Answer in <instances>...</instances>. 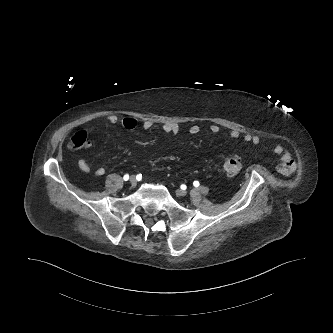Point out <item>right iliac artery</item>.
I'll use <instances>...</instances> for the list:
<instances>
[{
    "instance_id": "82829eb1",
    "label": "right iliac artery",
    "mask_w": 333,
    "mask_h": 333,
    "mask_svg": "<svg viewBox=\"0 0 333 333\" xmlns=\"http://www.w3.org/2000/svg\"><path fill=\"white\" fill-rule=\"evenodd\" d=\"M123 179H124L125 181H127V180L129 179V175H128V174H125L124 177H123Z\"/></svg>"
}]
</instances>
